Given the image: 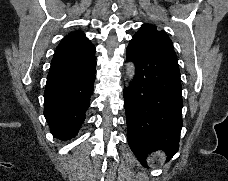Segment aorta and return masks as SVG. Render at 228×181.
Returning a JSON list of instances; mask_svg holds the SVG:
<instances>
[{"label":"aorta","mask_w":228,"mask_h":181,"mask_svg":"<svg viewBox=\"0 0 228 181\" xmlns=\"http://www.w3.org/2000/svg\"><path fill=\"white\" fill-rule=\"evenodd\" d=\"M135 76V65L133 62H129L126 64V78L128 81H132Z\"/></svg>","instance_id":"aorta-1"}]
</instances>
